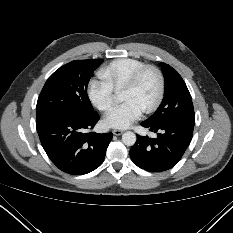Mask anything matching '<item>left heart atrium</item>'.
I'll use <instances>...</instances> for the list:
<instances>
[{"label":"left heart atrium","instance_id":"left-heart-atrium-1","mask_svg":"<svg viewBox=\"0 0 233 233\" xmlns=\"http://www.w3.org/2000/svg\"><path fill=\"white\" fill-rule=\"evenodd\" d=\"M143 109L134 101H125L115 107L104 119L107 126L117 129L128 128L137 121L143 113Z\"/></svg>","mask_w":233,"mask_h":233}]
</instances>
